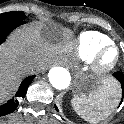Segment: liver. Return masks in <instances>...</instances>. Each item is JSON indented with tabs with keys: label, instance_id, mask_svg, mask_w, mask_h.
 <instances>
[{
	"label": "liver",
	"instance_id": "liver-1",
	"mask_svg": "<svg viewBox=\"0 0 124 124\" xmlns=\"http://www.w3.org/2000/svg\"><path fill=\"white\" fill-rule=\"evenodd\" d=\"M69 39L68 31L55 26H29L12 34L0 48V103L23 75L38 70L30 67L31 60L40 62L42 68L55 54L68 51Z\"/></svg>",
	"mask_w": 124,
	"mask_h": 124
}]
</instances>
